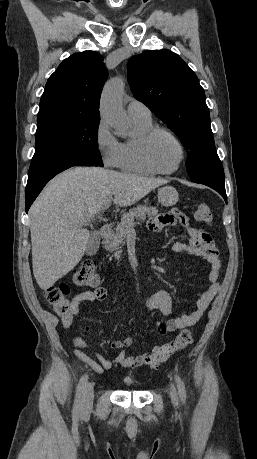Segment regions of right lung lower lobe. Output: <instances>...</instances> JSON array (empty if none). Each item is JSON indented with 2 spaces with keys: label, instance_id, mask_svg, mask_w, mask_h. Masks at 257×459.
<instances>
[{
  "label": "right lung lower lobe",
  "instance_id": "right-lung-lower-lobe-1",
  "mask_svg": "<svg viewBox=\"0 0 257 459\" xmlns=\"http://www.w3.org/2000/svg\"><path fill=\"white\" fill-rule=\"evenodd\" d=\"M72 166H100L89 158L79 155H60L32 161L26 186V212L46 183L58 173Z\"/></svg>",
  "mask_w": 257,
  "mask_h": 459
}]
</instances>
